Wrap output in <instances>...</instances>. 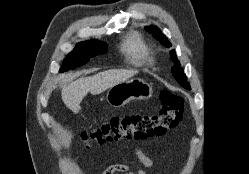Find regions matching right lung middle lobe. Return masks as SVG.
I'll return each mask as SVG.
<instances>
[{"instance_id":"dd1d6c3e","label":"right lung middle lobe","mask_w":249,"mask_h":174,"mask_svg":"<svg viewBox=\"0 0 249 174\" xmlns=\"http://www.w3.org/2000/svg\"><path fill=\"white\" fill-rule=\"evenodd\" d=\"M105 52L106 44L97 42L96 40L80 42L76 45L75 49L68 54L59 72L75 69L78 66L86 64L91 57Z\"/></svg>"}]
</instances>
